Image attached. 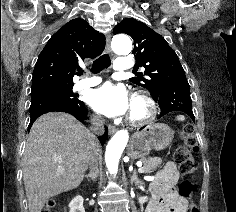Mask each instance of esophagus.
Wrapping results in <instances>:
<instances>
[{"label": "esophagus", "instance_id": "obj_1", "mask_svg": "<svg viewBox=\"0 0 236 212\" xmlns=\"http://www.w3.org/2000/svg\"><path fill=\"white\" fill-rule=\"evenodd\" d=\"M110 40H111V36H110V34H107V36H106V51L109 54L113 55L112 50H111ZM108 131H109V134H113L117 131V128L115 126L110 125L108 127Z\"/></svg>", "mask_w": 236, "mask_h": 212}]
</instances>
